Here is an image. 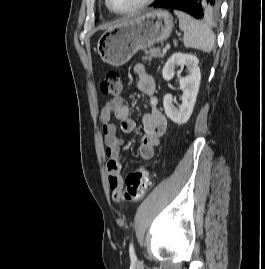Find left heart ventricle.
<instances>
[{
  "label": "left heart ventricle",
  "instance_id": "left-heart-ventricle-1",
  "mask_svg": "<svg viewBox=\"0 0 265 269\" xmlns=\"http://www.w3.org/2000/svg\"><path fill=\"white\" fill-rule=\"evenodd\" d=\"M142 0H111L112 6L116 10H127L133 8Z\"/></svg>",
  "mask_w": 265,
  "mask_h": 269
}]
</instances>
